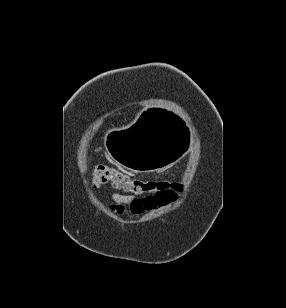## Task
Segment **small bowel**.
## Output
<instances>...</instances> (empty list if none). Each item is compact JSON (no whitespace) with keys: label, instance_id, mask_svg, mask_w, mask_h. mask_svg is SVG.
Returning a JSON list of instances; mask_svg holds the SVG:
<instances>
[{"label":"small bowel","instance_id":"1","mask_svg":"<svg viewBox=\"0 0 286 308\" xmlns=\"http://www.w3.org/2000/svg\"><path fill=\"white\" fill-rule=\"evenodd\" d=\"M177 199V192L169 190L165 195L159 197L140 198L132 195L114 194L111 197L110 207L118 214H123L127 210L135 215L151 210L158 205H165Z\"/></svg>","mask_w":286,"mask_h":308}]
</instances>
